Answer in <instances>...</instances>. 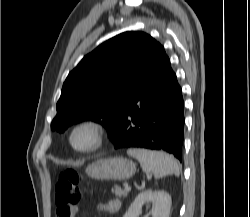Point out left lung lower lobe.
<instances>
[{
	"label": "left lung lower lobe",
	"instance_id": "obj_1",
	"mask_svg": "<svg viewBox=\"0 0 250 217\" xmlns=\"http://www.w3.org/2000/svg\"><path fill=\"white\" fill-rule=\"evenodd\" d=\"M184 104L182 91L163 46L135 87L110 137L116 149L163 150L182 161Z\"/></svg>",
	"mask_w": 250,
	"mask_h": 217
}]
</instances>
